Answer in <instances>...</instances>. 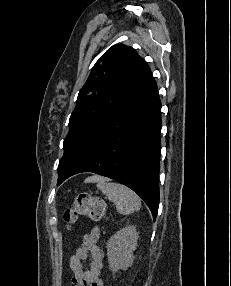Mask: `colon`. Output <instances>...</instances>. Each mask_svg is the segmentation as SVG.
<instances>
[{"instance_id": "obj_1", "label": "colon", "mask_w": 231, "mask_h": 286, "mask_svg": "<svg viewBox=\"0 0 231 286\" xmlns=\"http://www.w3.org/2000/svg\"><path fill=\"white\" fill-rule=\"evenodd\" d=\"M80 216L95 221L103 219L106 216L104 201L86 192L78 194L73 204L64 211L63 219L68 226H71Z\"/></svg>"}]
</instances>
